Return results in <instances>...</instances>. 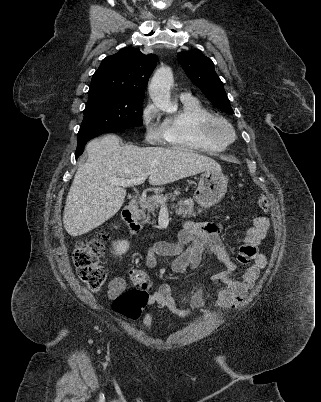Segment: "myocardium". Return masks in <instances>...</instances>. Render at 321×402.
Instances as JSON below:
<instances>
[{"instance_id":"1","label":"myocardium","mask_w":321,"mask_h":402,"mask_svg":"<svg viewBox=\"0 0 321 402\" xmlns=\"http://www.w3.org/2000/svg\"><path fill=\"white\" fill-rule=\"evenodd\" d=\"M199 127L207 139L224 147L231 144L236 138L235 130L231 123L219 115L210 114L203 118L199 122Z\"/></svg>"}]
</instances>
